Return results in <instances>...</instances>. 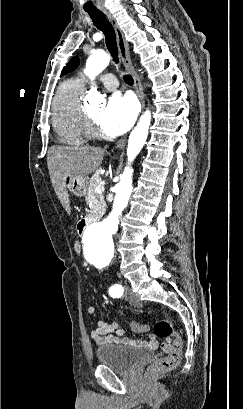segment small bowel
Instances as JSON below:
<instances>
[{"instance_id":"small-bowel-1","label":"small bowel","mask_w":243,"mask_h":409,"mask_svg":"<svg viewBox=\"0 0 243 409\" xmlns=\"http://www.w3.org/2000/svg\"><path fill=\"white\" fill-rule=\"evenodd\" d=\"M94 312L95 308L93 306L87 308L88 314L92 315ZM90 336L96 345L123 344L133 347H145L148 349H157L159 347L157 338L154 334H150L146 340L125 337L124 330L119 328L115 321H98L91 329ZM161 348L165 352L170 351L169 345H162Z\"/></svg>"}]
</instances>
